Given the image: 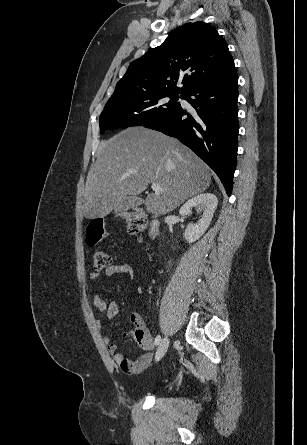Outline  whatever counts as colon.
Instances as JSON below:
<instances>
[{
    "mask_svg": "<svg viewBox=\"0 0 307 445\" xmlns=\"http://www.w3.org/2000/svg\"><path fill=\"white\" fill-rule=\"evenodd\" d=\"M121 218L126 223L128 231L137 236H141L147 226L146 217L138 212H126L121 215ZM107 236L105 229V221L103 219H94L86 227L85 241L90 247L96 246L101 240ZM93 266L96 271H101L110 266L111 260L109 255L102 250H95L92 252ZM133 321L136 324L134 331V339L141 346H148L151 343V337L147 333L142 324L141 318L138 315L133 316Z\"/></svg>",
    "mask_w": 307,
    "mask_h": 445,
    "instance_id": "5ec220e1",
    "label": "colon"
}]
</instances>
